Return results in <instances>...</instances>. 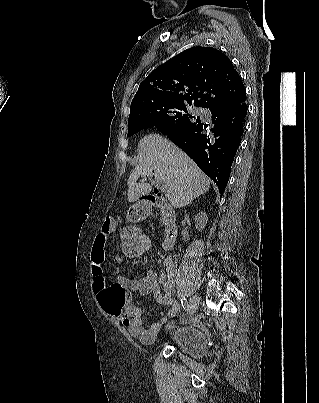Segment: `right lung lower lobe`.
I'll list each match as a JSON object with an SVG mask.
<instances>
[{"mask_svg": "<svg viewBox=\"0 0 319 403\" xmlns=\"http://www.w3.org/2000/svg\"><path fill=\"white\" fill-rule=\"evenodd\" d=\"M244 99L209 109L214 127L199 120L183 130L165 133L192 158L198 167L218 186L222 194L227 185L231 165L241 142L247 115Z\"/></svg>", "mask_w": 319, "mask_h": 403, "instance_id": "98d812e1", "label": "right lung lower lobe"}]
</instances>
